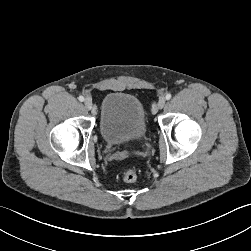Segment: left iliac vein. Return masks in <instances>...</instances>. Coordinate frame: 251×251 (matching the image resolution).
I'll list each match as a JSON object with an SVG mask.
<instances>
[{
    "mask_svg": "<svg viewBox=\"0 0 251 251\" xmlns=\"http://www.w3.org/2000/svg\"><path fill=\"white\" fill-rule=\"evenodd\" d=\"M165 104H166V99L164 97H161L157 104L158 109H162L165 106Z\"/></svg>",
    "mask_w": 251,
    "mask_h": 251,
    "instance_id": "obj_1",
    "label": "left iliac vein"
}]
</instances>
